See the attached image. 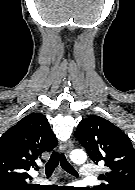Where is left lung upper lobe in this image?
<instances>
[{
  "label": "left lung upper lobe",
  "mask_w": 135,
  "mask_h": 190,
  "mask_svg": "<svg viewBox=\"0 0 135 190\" xmlns=\"http://www.w3.org/2000/svg\"><path fill=\"white\" fill-rule=\"evenodd\" d=\"M75 137L93 162L104 161L109 171L93 190H135V150L129 137L110 121L90 116L82 120Z\"/></svg>",
  "instance_id": "1"
}]
</instances>
